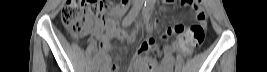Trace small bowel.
I'll return each mask as SVG.
<instances>
[{"label": "small bowel", "instance_id": "obj_1", "mask_svg": "<svg viewBox=\"0 0 267 72\" xmlns=\"http://www.w3.org/2000/svg\"><path fill=\"white\" fill-rule=\"evenodd\" d=\"M128 9V3H122L114 8V13L119 14ZM206 16V11L202 5V10L197 14L199 16ZM180 23H176L171 29L168 30L170 35H175L177 40L167 48V53L162 59L160 65L157 62L150 58L145 57L144 54L150 49H156L154 46V40L152 38L142 42L138 47L132 62L131 72H168L174 67V56L173 53L177 50L179 45L183 42V37L175 31V26ZM87 33L90 34L95 39L99 40L97 56L99 59H104L110 50L109 40L111 38L112 30H107L105 27V19L97 21L95 26H90L87 30ZM98 59V61H99ZM100 62V61H99ZM143 65V67H139ZM102 69L104 71H111L112 67L108 64L103 63Z\"/></svg>", "mask_w": 267, "mask_h": 72}]
</instances>
